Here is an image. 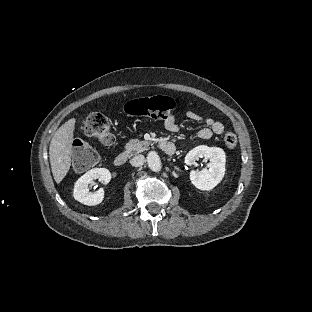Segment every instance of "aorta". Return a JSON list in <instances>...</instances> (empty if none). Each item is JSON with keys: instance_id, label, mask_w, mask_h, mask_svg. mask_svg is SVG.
<instances>
[{"instance_id": "aorta-1", "label": "aorta", "mask_w": 312, "mask_h": 312, "mask_svg": "<svg viewBox=\"0 0 312 312\" xmlns=\"http://www.w3.org/2000/svg\"><path fill=\"white\" fill-rule=\"evenodd\" d=\"M148 166L153 171H159L161 169V161L156 152L152 151L147 156Z\"/></svg>"}]
</instances>
